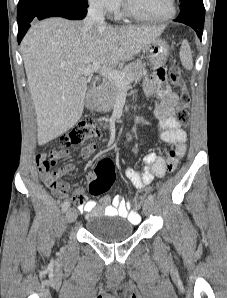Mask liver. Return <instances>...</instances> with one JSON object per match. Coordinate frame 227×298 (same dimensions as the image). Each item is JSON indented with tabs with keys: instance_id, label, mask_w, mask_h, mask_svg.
Returning a JSON list of instances; mask_svg holds the SVG:
<instances>
[{
	"instance_id": "6515ba94",
	"label": "liver",
	"mask_w": 227,
	"mask_h": 298,
	"mask_svg": "<svg viewBox=\"0 0 227 298\" xmlns=\"http://www.w3.org/2000/svg\"><path fill=\"white\" fill-rule=\"evenodd\" d=\"M164 27L95 26L55 17L31 26L21 43L29 90L37 118L38 144L72 128L81 118L87 91L79 69L100 62L115 65L133 59L157 39Z\"/></svg>"
}]
</instances>
